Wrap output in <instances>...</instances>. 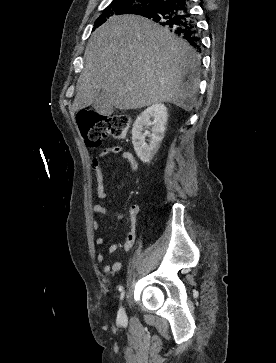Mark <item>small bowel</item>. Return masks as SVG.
Instances as JSON below:
<instances>
[{
    "label": "small bowel",
    "instance_id": "small-bowel-1",
    "mask_svg": "<svg viewBox=\"0 0 276 363\" xmlns=\"http://www.w3.org/2000/svg\"><path fill=\"white\" fill-rule=\"evenodd\" d=\"M113 154H120L121 157L127 161L128 163V173L131 174L132 172L136 171L138 169V161L134 157V155L124 149L122 146L119 145H109L102 149L98 154H96L92 159V170L97 182V196L100 199H104L107 196V191L104 186V170H103V162L106 158ZM93 212L99 216H104L106 213V209L102 203H96L93 205L92 208ZM139 206L137 204H133L129 208V219L131 223L130 230L125 238V240L122 243H114L111 244L108 247L109 253H115L119 249H123L124 251L128 252L135 241L136 238V222H137V216L139 213ZM91 226L94 230H97L100 226L99 221L96 219H93L91 221ZM95 243L97 245H103L104 244V238L99 236L96 237ZM96 259L98 262L103 263L106 260V255L104 252H98L96 255ZM122 263L120 261H115L113 263L106 262L103 265V272L106 275H111L114 273H117L121 270Z\"/></svg>",
    "mask_w": 276,
    "mask_h": 363
}]
</instances>
